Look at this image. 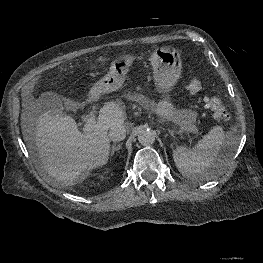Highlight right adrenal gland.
Listing matches in <instances>:
<instances>
[{
    "mask_svg": "<svg viewBox=\"0 0 263 263\" xmlns=\"http://www.w3.org/2000/svg\"><path fill=\"white\" fill-rule=\"evenodd\" d=\"M121 147H122L121 144H119L118 146L112 145L111 146V156H113L116 151H119Z\"/></svg>",
    "mask_w": 263,
    "mask_h": 263,
    "instance_id": "right-adrenal-gland-1",
    "label": "right adrenal gland"
}]
</instances>
